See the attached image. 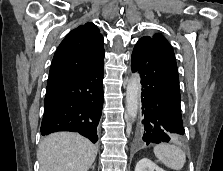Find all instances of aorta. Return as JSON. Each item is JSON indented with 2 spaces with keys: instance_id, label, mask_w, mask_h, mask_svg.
I'll return each mask as SVG.
<instances>
[{
  "instance_id": "aorta-1",
  "label": "aorta",
  "mask_w": 223,
  "mask_h": 171,
  "mask_svg": "<svg viewBox=\"0 0 223 171\" xmlns=\"http://www.w3.org/2000/svg\"><path fill=\"white\" fill-rule=\"evenodd\" d=\"M141 90L140 75L135 73L128 81L126 89V109L127 115L132 122L135 121L138 114V101Z\"/></svg>"
}]
</instances>
